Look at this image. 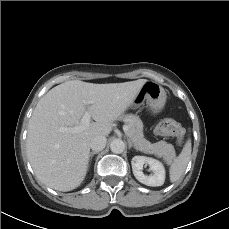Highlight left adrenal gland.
<instances>
[{
	"label": "left adrenal gland",
	"instance_id": "obj_1",
	"mask_svg": "<svg viewBox=\"0 0 229 229\" xmlns=\"http://www.w3.org/2000/svg\"><path fill=\"white\" fill-rule=\"evenodd\" d=\"M128 144H129V149L132 148V147H134L133 144H132L130 141H128ZM134 148H135V147H134ZM135 149H136V148H135ZM136 150H137V149H136Z\"/></svg>",
	"mask_w": 229,
	"mask_h": 229
}]
</instances>
